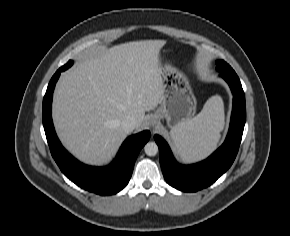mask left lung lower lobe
<instances>
[{
    "mask_svg": "<svg viewBox=\"0 0 290 236\" xmlns=\"http://www.w3.org/2000/svg\"><path fill=\"white\" fill-rule=\"evenodd\" d=\"M220 76L229 84L233 93V110L227 137L223 145L206 160L192 165L178 164L166 141L155 135L159 147V159L163 176L172 187L196 192L214 183L232 165L242 139L246 121L245 95L234 70L220 71Z\"/></svg>",
    "mask_w": 290,
    "mask_h": 236,
    "instance_id": "obj_1",
    "label": "left lung lower lobe"
}]
</instances>
